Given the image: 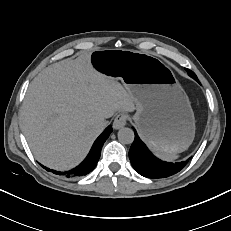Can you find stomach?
Here are the masks:
<instances>
[{"instance_id":"0dacf381","label":"stomach","mask_w":231,"mask_h":231,"mask_svg":"<svg viewBox=\"0 0 231 231\" xmlns=\"http://www.w3.org/2000/svg\"><path fill=\"white\" fill-rule=\"evenodd\" d=\"M99 73L121 80L133 96L135 126L156 152L185 151L195 136V117L188 96L172 70L160 59L139 51L104 49L90 54Z\"/></svg>"}]
</instances>
